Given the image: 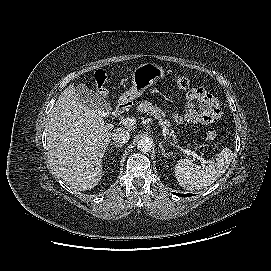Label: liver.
I'll return each mask as SVG.
<instances>
[{"label": "liver", "mask_w": 271, "mask_h": 271, "mask_svg": "<svg viewBox=\"0 0 271 271\" xmlns=\"http://www.w3.org/2000/svg\"><path fill=\"white\" fill-rule=\"evenodd\" d=\"M114 126L79 101L74 85L58 97L47 131L48 160L68 186L90 190L101 179L102 158Z\"/></svg>", "instance_id": "liver-1"}]
</instances>
